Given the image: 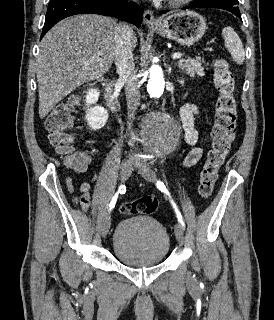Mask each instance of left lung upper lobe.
Masks as SVG:
<instances>
[{"instance_id": "left-lung-upper-lobe-1", "label": "left lung upper lobe", "mask_w": 274, "mask_h": 320, "mask_svg": "<svg viewBox=\"0 0 274 320\" xmlns=\"http://www.w3.org/2000/svg\"><path fill=\"white\" fill-rule=\"evenodd\" d=\"M203 1L214 2V3L222 4L227 7L239 9V7L237 6L238 0H203Z\"/></svg>"}]
</instances>
